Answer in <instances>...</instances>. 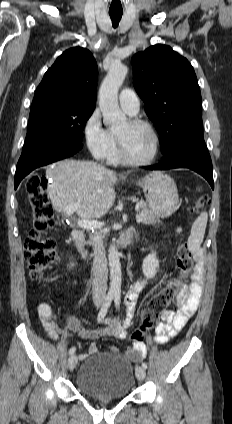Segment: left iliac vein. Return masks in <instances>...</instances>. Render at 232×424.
I'll return each instance as SVG.
<instances>
[{"instance_id": "4c4485c4", "label": "left iliac vein", "mask_w": 232, "mask_h": 424, "mask_svg": "<svg viewBox=\"0 0 232 424\" xmlns=\"http://www.w3.org/2000/svg\"><path fill=\"white\" fill-rule=\"evenodd\" d=\"M146 372L143 367L137 366L136 367V377L139 381H143L145 379Z\"/></svg>"}]
</instances>
